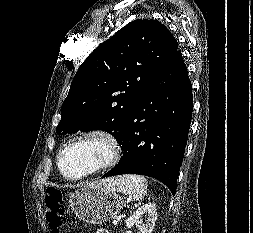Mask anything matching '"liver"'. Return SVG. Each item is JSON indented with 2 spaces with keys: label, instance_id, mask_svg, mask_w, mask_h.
<instances>
[{
  "label": "liver",
  "instance_id": "1",
  "mask_svg": "<svg viewBox=\"0 0 253 233\" xmlns=\"http://www.w3.org/2000/svg\"><path fill=\"white\" fill-rule=\"evenodd\" d=\"M106 182H107V180H106V181H99V182H96V183H99V184L105 185V184H106Z\"/></svg>",
  "mask_w": 253,
  "mask_h": 233
}]
</instances>
